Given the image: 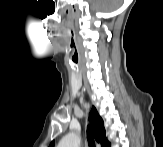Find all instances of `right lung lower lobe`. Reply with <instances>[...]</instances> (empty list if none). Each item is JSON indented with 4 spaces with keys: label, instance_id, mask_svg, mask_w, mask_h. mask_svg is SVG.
<instances>
[{
    "label": "right lung lower lobe",
    "instance_id": "98d812e1",
    "mask_svg": "<svg viewBox=\"0 0 163 147\" xmlns=\"http://www.w3.org/2000/svg\"><path fill=\"white\" fill-rule=\"evenodd\" d=\"M110 146V144L108 143L105 147H109Z\"/></svg>",
    "mask_w": 163,
    "mask_h": 147
}]
</instances>
